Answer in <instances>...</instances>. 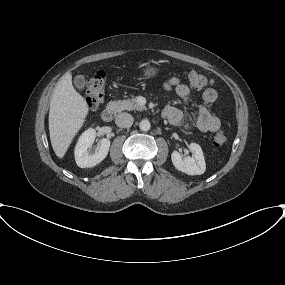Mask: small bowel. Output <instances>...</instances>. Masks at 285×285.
Listing matches in <instances>:
<instances>
[{
    "label": "small bowel",
    "mask_w": 285,
    "mask_h": 285,
    "mask_svg": "<svg viewBox=\"0 0 285 285\" xmlns=\"http://www.w3.org/2000/svg\"><path fill=\"white\" fill-rule=\"evenodd\" d=\"M164 88L166 91H175L186 104L190 103V87L177 77L168 79ZM218 97L214 88H207L202 94V103L193 115V122H188L184 112L175 106L169 105L163 110V117L172 125L185 129H196L201 132H216L220 129L219 118L212 113L211 107Z\"/></svg>",
    "instance_id": "obj_1"
}]
</instances>
